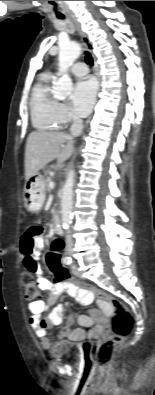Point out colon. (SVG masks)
Listing matches in <instances>:
<instances>
[{"mask_svg":"<svg viewBox=\"0 0 155 395\" xmlns=\"http://www.w3.org/2000/svg\"><path fill=\"white\" fill-rule=\"evenodd\" d=\"M55 243L56 244L50 246V249H46V255L43 257L47 267H50L52 278H58L56 283L60 285L61 288L63 283L79 285V278H71V272H63L61 265H59L57 251H63V245L65 243L64 238H57ZM26 263L31 264V260L27 259ZM22 283L27 300L29 302L38 300L41 287L37 278L30 270L27 269V272L22 276ZM80 286L81 288H87L88 292H92V294L99 296L101 301L106 300L108 304H113V313L111 315L112 335L110 338L101 341L95 350L97 365L105 369L111 364L114 354L124 339L131 333L134 317L122 301L105 294L103 289H99V287H95V285H89L88 281H81Z\"/></svg>","mask_w":155,"mask_h":395,"instance_id":"obj_1","label":"colon"}]
</instances>
